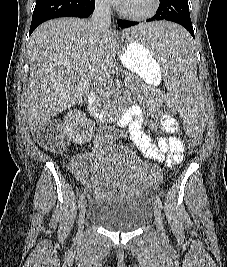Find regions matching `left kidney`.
<instances>
[{
	"label": "left kidney",
	"instance_id": "left-kidney-1",
	"mask_svg": "<svg viewBox=\"0 0 227 267\" xmlns=\"http://www.w3.org/2000/svg\"><path fill=\"white\" fill-rule=\"evenodd\" d=\"M151 127L154 129V128H156L157 126H156V124L154 123V124L151 125Z\"/></svg>",
	"mask_w": 227,
	"mask_h": 267
}]
</instances>
